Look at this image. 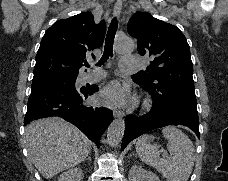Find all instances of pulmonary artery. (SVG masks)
I'll return each mask as SVG.
<instances>
[{"mask_svg":"<svg viewBox=\"0 0 228 181\" xmlns=\"http://www.w3.org/2000/svg\"><path fill=\"white\" fill-rule=\"evenodd\" d=\"M142 57H120V71H133V67H138V62H142ZM93 79H107V74H93Z\"/></svg>","mask_w":228,"mask_h":181,"instance_id":"obj_1","label":"pulmonary artery"}]
</instances>
